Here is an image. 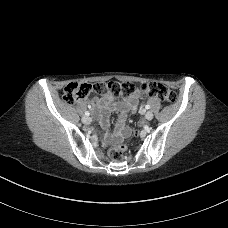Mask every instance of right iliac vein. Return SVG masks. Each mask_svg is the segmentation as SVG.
<instances>
[{
  "label": "right iliac vein",
  "instance_id": "63e3f726",
  "mask_svg": "<svg viewBox=\"0 0 228 228\" xmlns=\"http://www.w3.org/2000/svg\"><path fill=\"white\" fill-rule=\"evenodd\" d=\"M82 122L84 124L88 125V124H91L92 119L90 117H88V116H84V117H82Z\"/></svg>",
  "mask_w": 228,
  "mask_h": 228
}]
</instances>
